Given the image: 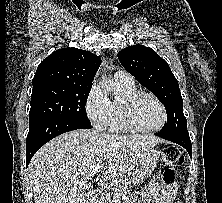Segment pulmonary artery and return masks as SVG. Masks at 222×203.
<instances>
[{"label": "pulmonary artery", "mask_w": 222, "mask_h": 203, "mask_svg": "<svg viewBox=\"0 0 222 203\" xmlns=\"http://www.w3.org/2000/svg\"><path fill=\"white\" fill-rule=\"evenodd\" d=\"M114 80L116 81V83L122 84V85L130 86L134 84L132 76L128 72L123 71V70H119L115 72Z\"/></svg>", "instance_id": "e3ab8cb5"}]
</instances>
